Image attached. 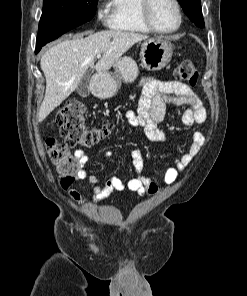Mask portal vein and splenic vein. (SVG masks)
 <instances>
[{
  "mask_svg": "<svg viewBox=\"0 0 247 296\" xmlns=\"http://www.w3.org/2000/svg\"><path fill=\"white\" fill-rule=\"evenodd\" d=\"M100 57H101V54H98V55H97V58H100Z\"/></svg>",
  "mask_w": 247,
  "mask_h": 296,
  "instance_id": "obj_1",
  "label": "portal vein and splenic vein"
}]
</instances>
